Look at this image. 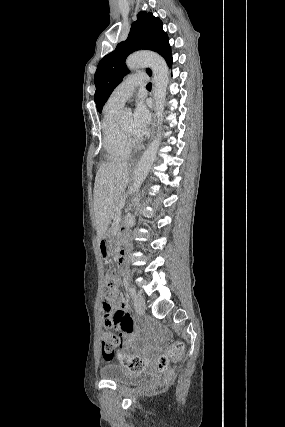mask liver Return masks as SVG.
<instances>
[{"mask_svg": "<svg viewBox=\"0 0 285 427\" xmlns=\"http://www.w3.org/2000/svg\"><path fill=\"white\" fill-rule=\"evenodd\" d=\"M129 169L127 162H107L96 173L93 202L99 238L105 234L125 192Z\"/></svg>", "mask_w": 285, "mask_h": 427, "instance_id": "6515ba94", "label": "liver"}]
</instances>
